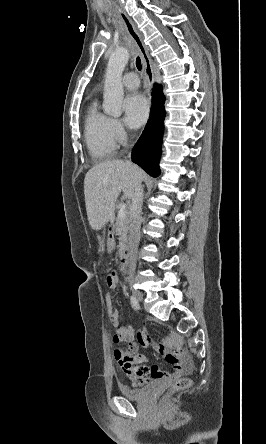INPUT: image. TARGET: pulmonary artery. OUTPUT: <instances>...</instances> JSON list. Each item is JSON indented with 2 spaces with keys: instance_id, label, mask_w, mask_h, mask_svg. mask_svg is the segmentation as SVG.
I'll use <instances>...</instances> for the list:
<instances>
[{
  "instance_id": "obj_1",
  "label": "pulmonary artery",
  "mask_w": 266,
  "mask_h": 444,
  "mask_svg": "<svg viewBox=\"0 0 266 444\" xmlns=\"http://www.w3.org/2000/svg\"><path fill=\"white\" fill-rule=\"evenodd\" d=\"M122 84L128 89H136L139 86V79L136 73H126L122 78Z\"/></svg>"
}]
</instances>
